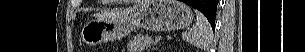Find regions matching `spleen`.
Masks as SVG:
<instances>
[{
  "mask_svg": "<svg viewBox=\"0 0 305 52\" xmlns=\"http://www.w3.org/2000/svg\"><path fill=\"white\" fill-rule=\"evenodd\" d=\"M197 21L190 31L182 34L183 40L204 50H209L213 38L210 23L206 17L198 10H195Z\"/></svg>",
  "mask_w": 305,
  "mask_h": 52,
  "instance_id": "3e777b00",
  "label": "spleen"
}]
</instances>
